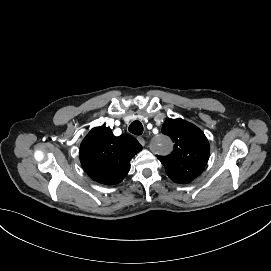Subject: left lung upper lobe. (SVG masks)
Returning a JSON list of instances; mask_svg holds the SVG:
<instances>
[{
  "mask_svg": "<svg viewBox=\"0 0 271 271\" xmlns=\"http://www.w3.org/2000/svg\"><path fill=\"white\" fill-rule=\"evenodd\" d=\"M162 132L174 142V150L168 156H157L169 178L175 183L187 184L204 170L209 158L210 146L204 133L195 125L182 119H168Z\"/></svg>",
  "mask_w": 271,
  "mask_h": 271,
  "instance_id": "1",
  "label": "left lung upper lobe"
}]
</instances>
